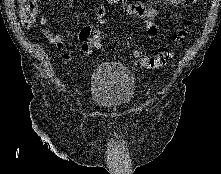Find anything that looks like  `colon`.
<instances>
[{"label": "colon", "mask_w": 221, "mask_h": 174, "mask_svg": "<svg viewBox=\"0 0 221 174\" xmlns=\"http://www.w3.org/2000/svg\"><path fill=\"white\" fill-rule=\"evenodd\" d=\"M40 0H17L19 4V18L25 27L32 26L38 16V4ZM190 22H187V26ZM185 35L184 30L177 32L173 39L176 43L183 41ZM102 34L99 29H82L80 32V40L82 42L81 52L91 54L94 50L100 47ZM133 56L138 59L139 66L146 69H158L163 67L172 56L171 50H164L160 53L148 54L141 50L135 49L132 52Z\"/></svg>", "instance_id": "5ec220e1"}]
</instances>
